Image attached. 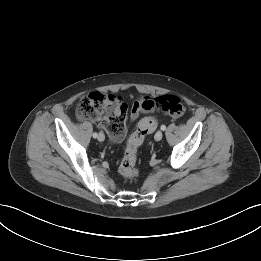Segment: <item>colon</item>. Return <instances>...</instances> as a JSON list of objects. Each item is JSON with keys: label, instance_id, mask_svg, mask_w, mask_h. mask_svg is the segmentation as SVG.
I'll return each instance as SVG.
<instances>
[{"label": "colon", "instance_id": "1", "mask_svg": "<svg viewBox=\"0 0 261 261\" xmlns=\"http://www.w3.org/2000/svg\"><path fill=\"white\" fill-rule=\"evenodd\" d=\"M149 110H163L172 117H181L185 113V106L175 95L158 96L143 105ZM80 119L100 120V126L111 136L113 142L118 143L127 136L125 128L127 105L118 96L93 92L82 97L77 106ZM156 122L153 118L140 120L135 131L130 136L124 155L120 161L118 171L128 180H136L139 176L137 167V153L146 136L154 131Z\"/></svg>", "mask_w": 261, "mask_h": 261}]
</instances>
